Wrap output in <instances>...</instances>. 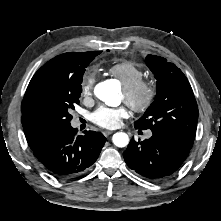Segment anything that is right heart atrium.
<instances>
[{
  "label": "right heart atrium",
  "instance_id": "1",
  "mask_svg": "<svg viewBox=\"0 0 221 221\" xmlns=\"http://www.w3.org/2000/svg\"><path fill=\"white\" fill-rule=\"evenodd\" d=\"M95 82V73L93 71H87L80 83V94L83 98H88L92 95L93 85Z\"/></svg>",
  "mask_w": 221,
  "mask_h": 221
}]
</instances>
